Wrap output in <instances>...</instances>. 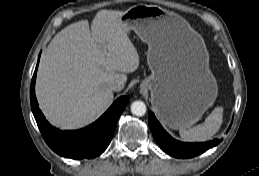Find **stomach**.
Segmentation results:
<instances>
[{
	"mask_svg": "<svg viewBox=\"0 0 259 176\" xmlns=\"http://www.w3.org/2000/svg\"><path fill=\"white\" fill-rule=\"evenodd\" d=\"M119 21L148 44L151 74L141 87L150 91L158 117L173 129L195 124L218 94L203 40L181 17L157 5L132 6Z\"/></svg>",
	"mask_w": 259,
	"mask_h": 176,
	"instance_id": "0dacf381",
	"label": "stomach"
}]
</instances>
